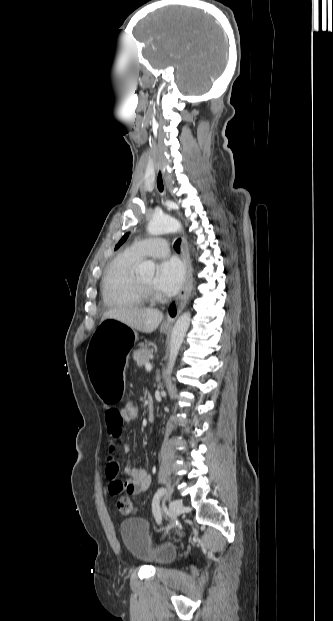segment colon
Returning a JSON list of instances; mask_svg holds the SVG:
<instances>
[{"label":"colon","mask_w":333,"mask_h":621,"mask_svg":"<svg viewBox=\"0 0 333 621\" xmlns=\"http://www.w3.org/2000/svg\"><path fill=\"white\" fill-rule=\"evenodd\" d=\"M121 410L123 411L125 420L127 422H133L139 416L138 407L132 400L123 401ZM117 508L119 512L123 515H133L136 513V506L128 498H120L117 502Z\"/></svg>","instance_id":"obj_1"}]
</instances>
